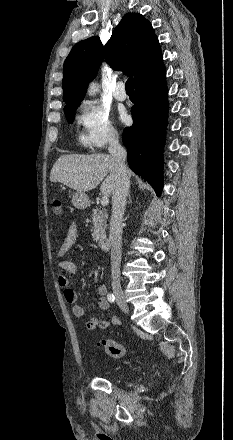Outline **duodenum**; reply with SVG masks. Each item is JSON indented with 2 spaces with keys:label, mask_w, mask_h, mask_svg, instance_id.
Instances as JSON below:
<instances>
[{
  "label": "duodenum",
  "mask_w": 233,
  "mask_h": 440,
  "mask_svg": "<svg viewBox=\"0 0 233 440\" xmlns=\"http://www.w3.org/2000/svg\"><path fill=\"white\" fill-rule=\"evenodd\" d=\"M110 240L106 237H101L99 239V246L103 250H108L110 248Z\"/></svg>",
  "instance_id": "410a0bca"
}]
</instances>
